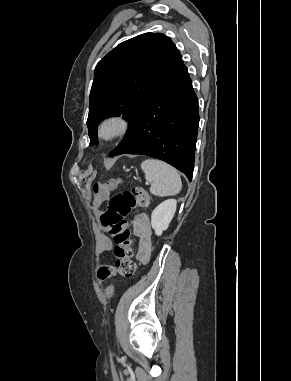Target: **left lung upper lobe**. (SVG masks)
<instances>
[{
  "label": "left lung upper lobe",
  "instance_id": "obj_1",
  "mask_svg": "<svg viewBox=\"0 0 291 381\" xmlns=\"http://www.w3.org/2000/svg\"><path fill=\"white\" fill-rule=\"evenodd\" d=\"M183 64L175 44L161 33L136 36L102 58L89 97L90 145L97 143V127L106 117L123 115L130 130L147 102Z\"/></svg>",
  "mask_w": 291,
  "mask_h": 381
}]
</instances>
